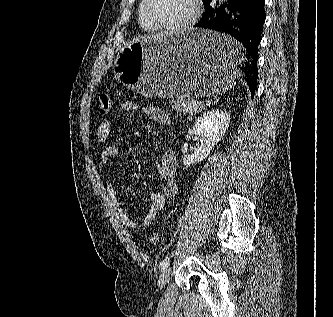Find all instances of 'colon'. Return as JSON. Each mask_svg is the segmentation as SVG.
<instances>
[{
	"label": "colon",
	"mask_w": 333,
	"mask_h": 317,
	"mask_svg": "<svg viewBox=\"0 0 333 317\" xmlns=\"http://www.w3.org/2000/svg\"><path fill=\"white\" fill-rule=\"evenodd\" d=\"M111 110V97L108 94H102L98 98L97 102V114L104 116ZM150 242L154 245L160 242V235L158 233H152L150 236Z\"/></svg>",
	"instance_id": "obj_1"
}]
</instances>
